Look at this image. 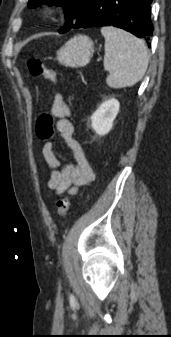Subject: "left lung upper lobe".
I'll use <instances>...</instances> for the list:
<instances>
[{"mask_svg": "<svg viewBox=\"0 0 171 337\" xmlns=\"http://www.w3.org/2000/svg\"><path fill=\"white\" fill-rule=\"evenodd\" d=\"M86 1L87 0H29L28 6L36 7L37 5H41L43 3H47L48 5L55 4L63 6L65 8L67 22L59 32L64 33L69 31L75 24V21L79 17Z\"/></svg>", "mask_w": 171, "mask_h": 337, "instance_id": "obj_1", "label": "left lung upper lobe"}]
</instances>
